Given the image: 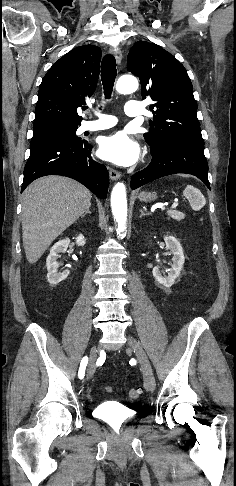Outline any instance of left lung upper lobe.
Masks as SVG:
<instances>
[{
    "instance_id": "5c2ea615",
    "label": "left lung upper lobe",
    "mask_w": 236,
    "mask_h": 486,
    "mask_svg": "<svg viewBox=\"0 0 236 486\" xmlns=\"http://www.w3.org/2000/svg\"><path fill=\"white\" fill-rule=\"evenodd\" d=\"M127 69L139 77L142 97L155 102L154 118L144 138L150 147L185 139L204 144L193 87L184 66L159 45L138 41L131 48Z\"/></svg>"
}]
</instances>
